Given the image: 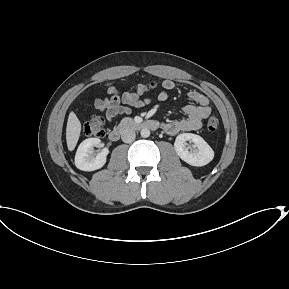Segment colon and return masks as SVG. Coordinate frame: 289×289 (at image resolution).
I'll return each mask as SVG.
<instances>
[{
	"mask_svg": "<svg viewBox=\"0 0 289 289\" xmlns=\"http://www.w3.org/2000/svg\"><path fill=\"white\" fill-rule=\"evenodd\" d=\"M153 89V84L144 85V93ZM218 117L212 115L207 120V129L214 132L219 127ZM83 132L86 136L101 137L105 134L104 121L100 116L91 117L83 127Z\"/></svg>",
	"mask_w": 289,
	"mask_h": 289,
	"instance_id": "5ec220e1",
	"label": "colon"
}]
</instances>
